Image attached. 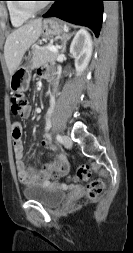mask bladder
<instances>
[{
    "label": "bladder",
    "instance_id": "31cf9c89",
    "mask_svg": "<svg viewBox=\"0 0 133 253\" xmlns=\"http://www.w3.org/2000/svg\"><path fill=\"white\" fill-rule=\"evenodd\" d=\"M22 194L27 200L36 201L50 208L59 206L65 198L63 190L49 184L29 185L23 189Z\"/></svg>",
    "mask_w": 133,
    "mask_h": 253
}]
</instances>
